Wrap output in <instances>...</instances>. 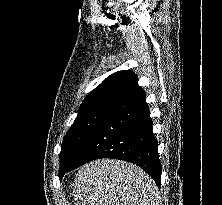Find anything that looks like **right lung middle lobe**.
<instances>
[{"label": "right lung middle lobe", "mask_w": 222, "mask_h": 205, "mask_svg": "<svg viewBox=\"0 0 222 205\" xmlns=\"http://www.w3.org/2000/svg\"><path fill=\"white\" fill-rule=\"evenodd\" d=\"M107 112V110L93 111L80 114L76 117L61 145L59 170L60 177L70 166L88 135L104 118Z\"/></svg>", "instance_id": "1"}]
</instances>
